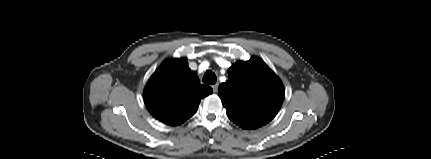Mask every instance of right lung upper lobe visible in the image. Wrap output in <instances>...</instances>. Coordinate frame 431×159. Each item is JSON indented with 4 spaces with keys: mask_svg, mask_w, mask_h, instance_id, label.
<instances>
[{
    "mask_svg": "<svg viewBox=\"0 0 431 159\" xmlns=\"http://www.w3.org/2000/svg\"><path fill=\"white\" fill-rule=\"evenodd\" d=\"M212 93L190 70L185 58L166 60L151 76L144 89V102L159 121L175 126L190 118L200 100Z\"/></svg>",
    "mask_w": 431,
    "mask_h": 159,
    "instance_id": "right-lung-upper-lobe-1",
    "label": "right lung upper lobe"
}]
</instances>
